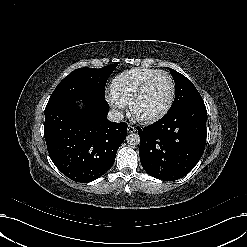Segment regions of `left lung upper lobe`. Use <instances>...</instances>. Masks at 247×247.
Returning a JSON list of instances; mask_svg holds the SVG:
<instances>
[{"mask_svg":"<svg viewBox=\"0 0 247 247\" xmlns=\"http://www.w3.org/2000/svg\"><path fill=\"white\" fill-rule=\"evenodd\" d=\"M170 73L174 78L176 94L169 111L181 108L188 102L201 97L194 84L188 78L173 69H170Z\"/></svg>","mask_w":247,"mask_h":247,"instance_id":"1","label":"left lung upper lobe"}]
</instances>
